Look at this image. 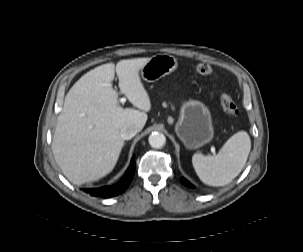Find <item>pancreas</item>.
I'll list each match as a JSON object with an SVG mask.
<instances>
[{"mask_svg":"<svg viewBox=\"0 0 303 252\" xmlns=\"http://www.w3.org/2000/svg\"><path fill=\"white\" fill-rule=\"evenodd\" d=\"M163 106H164V107H166V106H167V104L164 102V103H163ZM172 108H174V107L172 106Z\"/></svg>","mask_w":303,"mask_h":252,"instance_id":"pancreas-1","label":"pancreas"}]
</instances>
